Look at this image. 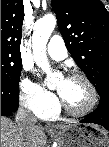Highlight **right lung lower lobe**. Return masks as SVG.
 <instances>
[{
  "label": "right lung lower lobe",
  "instance_id": "1",
  "mask_svg": "<svg viewBox=\"0 0 109 147\" xmlns=\"http://www.w3.org/2000/svg\"><path fill=\"white\" fill-rule=\"evenodd\" d=\"M19 105L18 88L1 85V116L16 112Z\"/></svg>",
  "mask_w": 109,
  "mask_h": 147
}]
</instances>
